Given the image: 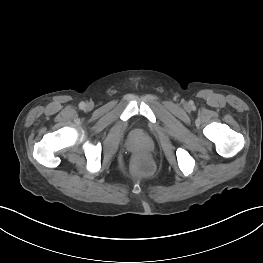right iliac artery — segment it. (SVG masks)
Here are the masks:
<instances>
[{
	"label": "right iliac artery",
	"instance_id": "82829eb1",
	"mask_svg": "<svg viewBox=\"0 0 263 263\" xmlns=\"http://www.w3.org/2000/svg\"><path fill=\"white\" fill-rule=\"evenodd\" d=\"M79 108H80V109H84V108H85V103H84V102H81V103L79 104Z\"/></svg>",
	"mask_w": 263,
	"mask_h": 263
}]
</instances>
